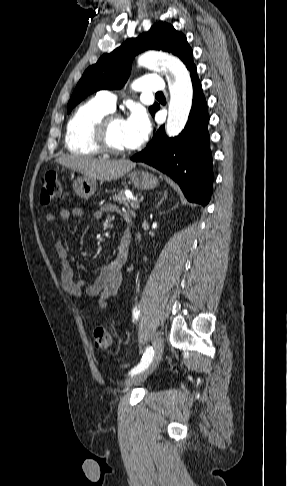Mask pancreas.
<instances>
[{
	"instance_id": "cf45deb5",
	"label": "pancreas",
	"mask_w": 287,
	"mask_h": 486,
	"mask_svg": "<svg viewBox=\"0 0 287 486\" xmlns=\"http://www.w3.org/2000/svg\"><path fill=\"white\" fill-rule=\"evenodd\" d=\"M112 199H113L114 202H118L120 204H123L124 206L127 207V209H130L129 200L125 196L124 191H120L118 194H115ZM135 209H137V208H135Z\"/></svg>"
}]
</instances>
